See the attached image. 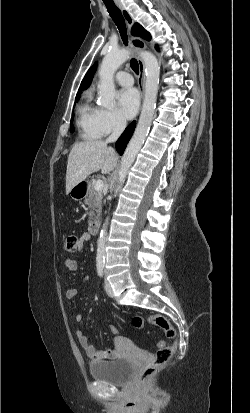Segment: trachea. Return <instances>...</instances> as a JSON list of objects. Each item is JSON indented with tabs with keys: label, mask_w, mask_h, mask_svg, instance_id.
Wrapping results in <instances>:
<instances>
[{
	"label": "trachea",
	"mask_w": 250,
	"mask_h": 413,
	"mask_svg": "<svg viewBox=\"0 0 250 413\" xmlns=\"http://www.w3.org/2000/svg\"><path fill=\"white\" fill-rule=\"evenodd\" d=\"M105 3V6L107 8V11L109 12L111 18L115 22L116 26L119 29L120 36L123 40V43L125 45L128 44V39H127V31H126V24L125 20L121 14V11L119 8L114 4V3ZM131 68L135 71V73H139V64L135 58H132L130 61Z\"/></svg>",
	"instance_id": "obj_1"
}]
</instances>
